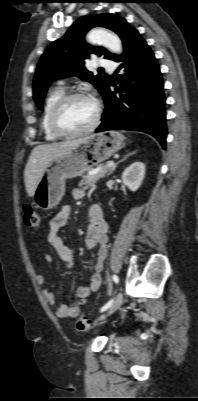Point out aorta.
Here are the masks:
<instances>
[{
	"label": "aorta",
	"mask_w": 198,
	"mask_h": 401,
	"mask_svg": "<svg viewBox=\"0 0 198 401\" xmlns=\"http://www.w3.org/2000/svg\"><path fill=\"white\" fill-rule=\"evenodd\" d=\"M87 39L91 44H100L109 49L113 53H121L122 42L120 38L105 29L96 28L89 32Z\"/></svg>",
	"instance_id": "aorta-1"
}]
</instances>
